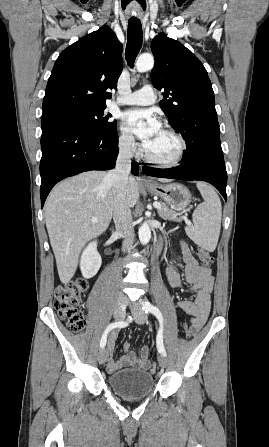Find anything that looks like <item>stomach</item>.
<instances>
[{"label":"stomach","mask_w":269,"mask_h":447,"mask_svg":"<svg viewBox=\"0 0 269 447\" xmlns=\"http://www.w3.org/2000/svg\"><path fill=\"white\" fill-rule=\"evenodd\" d=\"M149 192L160 196L168 206H171L173 210H185L191 202V194L185 186L181 184H152L148 186Z\"/></svg>","instance_id":"stomach-1"}]
</instances>
